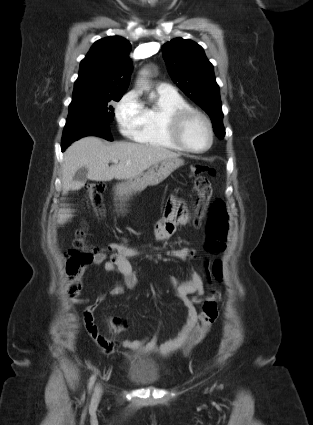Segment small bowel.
<instances>
[{
  "label": "small bowel",
  "instance_id": "obj_1",
  "mask_svg": "<svg viewBox=\"0 0 313 425\" xmlns=\"http://www.w3.org/2000/svg\"><path fill=\"white\" fill-rule=\"evenodd\" d=\"M189 213L184 203L176 197H172L165 209L162 219L155 228L156 238L160 241L168 240L174 233L179 224H185L189 221ZM108 249L112 251L110 258L102 252H95L94 263L104 262L106 272H116L121 276V280L115 284L108 295H121L126 289H134L138 284L136 272L130 262V258L138 256L140 253L123 243H110ZM191 250L187 247L174 249L169 255L185 261L190 255ZM173 291L184 303L187 316L184 328L175 338L162 344H158V334L155 333L149 337L140 340H123L117 343L102 336L95 322L94 313L103 302L107 294H102L93 301L78 296L71 297L70 301L76 305H82L81 312L84 328L91 340L106 354L115 351L118 345L130 352H157L162 355L170 354L176 350L183 349L188 353L195 345L200 343L214 321L217 318V304L210 297L204 295V282L201 273L197 269H190L189 278L178 282L175 278L169 280ZM202 304L201 311H198L196 304ZM129 325V320L121 317L111 319V327L114 332H122Z\"/></svg>",
  "mask_w": 313,
  "mask_h": 425
}]
</instances>
